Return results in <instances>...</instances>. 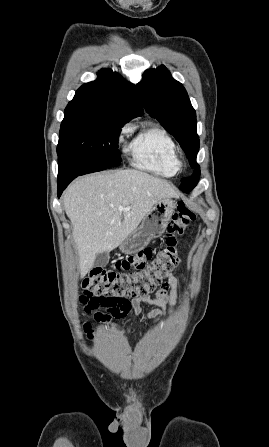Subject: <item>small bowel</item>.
I'll use <instances>...</instances> for the list:
<instances>
[{
    "instance_id": "obj_1",
    "label": "small bowel",
    "mask_w": 269,
    "mask_h": 447,
    "mask_svg": "<svg viewBox=\"0 0 269 447\" xmlns=\"http://www.w3.org/2000/svg\"><path fill=\"white\" fill-rule=\"evenodd\" d=\"M177 287V276L174 273L169 272L163 287L156 292L154 298L150 296L137 297L130 302L131 309L139 315H144L148 318L157 320L173 311L178 298ZM142 303H147L155 307V309L144 311L141 306Z\"/></svg>"
}]
</instances>
